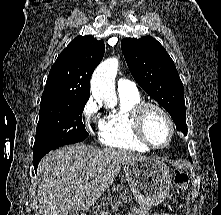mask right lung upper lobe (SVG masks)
Here are the masks:
<instances>
[{
	"instance_id": "right-lung-upper-lobe-1",
	"label": "right lung upper lobe",
	"mask_w": 221,
	"mask_h": 215,
	"mask_svg": "<svg viewBox=\"0 0 221 215\" xmlns=\"http://www.w3.org/2000/svg\"><path fill=\"white\" fill-rule=\"evenodd\" d=\"M104 52V42L91 35L74 38L51 67L41 103L59 99L88 100L90 78Z\"/></svg>"
}]
</instances>
